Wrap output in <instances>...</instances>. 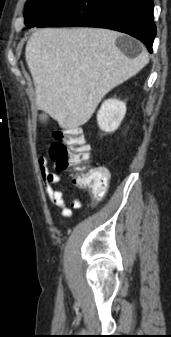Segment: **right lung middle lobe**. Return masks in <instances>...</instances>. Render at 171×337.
Segmentation results:
<instances>
[{"label":"right lung middle lobe","mask_w":171,"mask_h":337,"mask_svg":"<svg viewBox=\"0 0 171 337\" xmlns=\"http://www.w3.org/2000/svg\"><path fill=\"white\" fill-rule=\"evenodd\" d=\"M68 0H28L25 5L26 28L37 26L57 12Z\"/></svg>","instance_id":"obj_1"}]
</instances>
